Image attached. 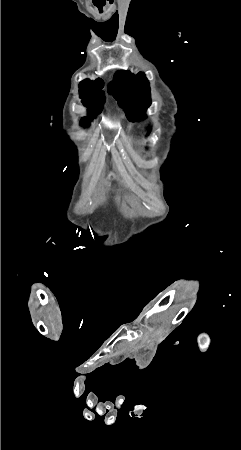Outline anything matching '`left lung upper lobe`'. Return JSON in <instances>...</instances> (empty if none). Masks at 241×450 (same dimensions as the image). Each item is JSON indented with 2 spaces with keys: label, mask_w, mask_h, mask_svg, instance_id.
I'll return each mask as SVG.
<instances>
[{
  "label": "left lung upper lobe",
  "mask_w": 241,
  "mask_h": 450,
  "mask_svg": "<svg viewBox=\"0 0 241 450\" xmlns=\"http://www.w3.org/2000/svg\"><path fill=\"white\" fill-rule=\"evenodd\" d=\"M108 92L125 110L130 121L146 118L145 111L151 104L150 85L144 73L133 75L129 71H117Z\"/></svg>",
  "instance_id": "5c2ea615"
}]
</instances>
